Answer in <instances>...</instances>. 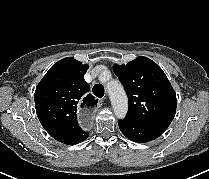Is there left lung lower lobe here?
Segmentation results:
<instances>
[{
	"mask_svg": "<svg viewBox=\"0 0 209 179\" xmlns=\"http://www.w3.org/2000/svg\"><path fill=\"white\" fill-rule=\"evenodd\" d=\"M118 125L128 139L138 143L149 142L163 134L160 130L141 125L127 118L119 120Z\"/></svg>",
	"mask_w": 209,
	"mask_h": 179,
	"instance_id": "1",
	"label": "left lung lower lobe"
}]
</instances>
